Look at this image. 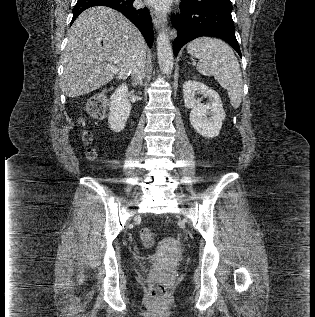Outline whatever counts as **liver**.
<instances>
[{
	"instance_id": "6515ba94",
	"label": "liver",
	"mask_w": 315,
	"mask_h": 317,
	"mask_svg": "<svg viewBox=\"0 0 315 317\" xmlns=\"http://www.w3.org/2000/svg\"><path fill=\"white\" fill-rule=\"evenodd\" d=\"M139 50L146 53L140 31L121 13L108 7L84 11L68 31L63 53V85L69 98L88 94L116 75L126 79ZM110 67L119 71L114 73Z\"/></svg>"
}]
</instances>
